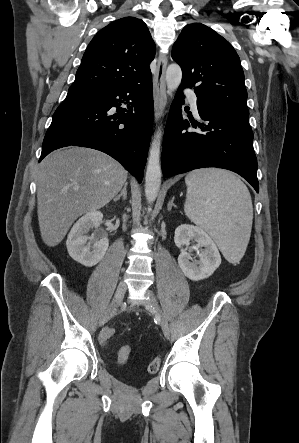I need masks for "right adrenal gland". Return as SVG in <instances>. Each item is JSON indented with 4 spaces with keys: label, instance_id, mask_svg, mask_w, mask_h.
Segmentation results:
<instances>
[{
    "label": "right adrenal gland",
    "instance_id": "1",
    "mask_svg": "<svg viewBox=\"0 0 299 443\" xmlns=\"http://www.w3.org/2000/svg\"><path fill=\"white\" fill-rule=\"evenodd\" d=\"M127 185H128V183L125 182L124 187H123L122 191L120 192V194H118V195L113 199L114 202L120 200L121 197H122L123 200H126V198H127Z\"/></svg>",
    "mask_w": 299,
    "mask_h": 443
}]
</instances>
